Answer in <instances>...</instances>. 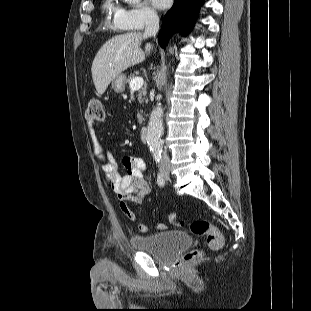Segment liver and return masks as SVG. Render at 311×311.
<instances>
[{
	"instance_id": "1",
	"label": "liver",
	"mask_w": 311,
	"mask_h": 311,
	"mask_svg": "<svg viewBox=\"0 0 311 311\" xmlns=\"http://www.w3.org/2000/svg\"><path fill=\"white\" fill-rule=\"evenodd\" d=\"M147 37L139 32L117 35L108 40L96 54L92 67V78L99 94H103L110 82L131 66L144 61L153 45L147 43L145 51L140 48Z\"/></svg>"
}]
</instances>
